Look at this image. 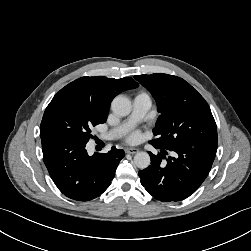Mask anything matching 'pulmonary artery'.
Instances as JSON below:
<instances>
[{"instance_id": "obj_1", "label": "pulmonary artery", "mask_w": 251, "mask_h": 251, "mask_svg": "<svg viewBox=\"0 0 251 251\" xmlns=\"http://www.w3.org/2000/svg\"><path fill=\"white\" fill-rule=\"evenodd\" d=\"M152 106V100L147 93H139L133 99L131 116L120 126L109 132L107 137L113 138L124 134L135 124L143 121Z\"/></svg>"}]
</instances>
